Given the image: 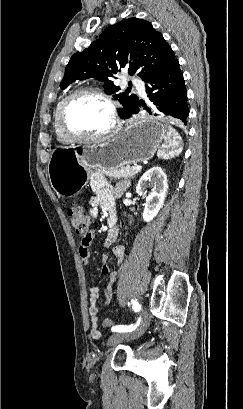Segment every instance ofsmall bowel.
Returning a JSON list of instances; mask_svg holds the SVG:
<instances>
[{"mask_svg": "<svg viewBox=\"0 0 243 409\" xmlns=\"http://www.w3.org/2000/svg\"><path fill=\"white\" fill-rule=\"evenodd\" d=\"M92 188L95 192V196L91 200L90 217L95 219L98 215V207L113 214L115 211V201L118 196L126 188V183H119L116 187H111L100 176H95L92 180ZM93 238V232L82 238L79 246V254L81 261L84 265H88L91 258L90 244ZM118 228L116 225L112 229L109 228L108 235L105 241L106 249H112L113 255L117 258L118 264H120L125 256V247L122 244H118ZM108 253L103 255V264L101 272L108 275V280L104 288V298L102 306L106 307L110 304L112 298V288L117 279V273L112 271L107 264ZM100 296V288L97 286L89 288V315L91 321L90 335L93 339L98 340L101 337V332L98 326V306L97 302Z\"/></svg>", "mask_w": 243, "mask_h": 409, "instance_id": "1", "label": "small bowel"}]
</instances>
